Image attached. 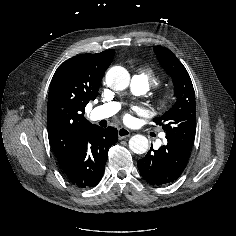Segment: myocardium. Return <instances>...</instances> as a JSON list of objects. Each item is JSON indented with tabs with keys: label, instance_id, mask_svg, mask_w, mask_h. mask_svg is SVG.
I'll list each match as a JSON object with an SVG mask.
<instances>
[{
	"label": "myocardium",
	"instance_id": "myocardium-1",
	"mask_svg": "<svg viewBox=\"0 0 236 236\" xmlns=\"http://www.w3.org/2000/svg\"><path fill=\"white\" fill-rule=\"evenodd\" d=\"M172 102V95L169 93H162L158 95L155 100L156 105L158 108L164 109L167 108Z\"/></svg>",
	"mask_w": 236,
	"mask_h": 236
}]
</instances>
